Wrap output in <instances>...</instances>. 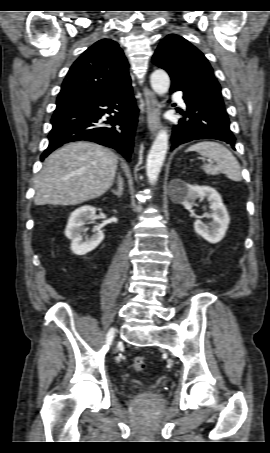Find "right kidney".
Here are the masks:
<instances>
[{"label": "right kidney", "instance_id": "1", "mask_svg": "<svg viewBox=\"0 0 270 453\" xmlns=\"http://www.w3.org/2000/svg\"><path fill=\"white\" fill-rule=\"evenodd\" d=\"M96 208L92 206H82L76 209L69 217L65 236L71 240V250L74 254L82 256L94 250L104 239V233L100 229H94L93 235L83 239V233L88 228L86 222L93 220Z\"/></svg>", "mask_w": 270, "mask_h": 453}]
</instances>
